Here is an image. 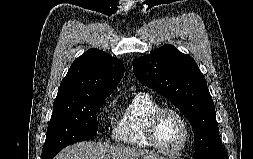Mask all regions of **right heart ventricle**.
Instances as JSON below:
<instances>
[{
    "instance_id": "obj_1",
    "label": "right heart ventricle",
    "mask_w": 253,
    "mask_h": 159,
    "mask_svg": "<svg viewBox=\"0 0 253 159\" xmlns=\"http://www.w3.org/2000/svg\"><path fill=\"white\" fill-rule=\"evenodd\" d=\"M160 104L148 93L136 94L122 110L113 134L116 142L135 149L152 148L146 137V123Z\"/></svg>"
}]
</instances>
